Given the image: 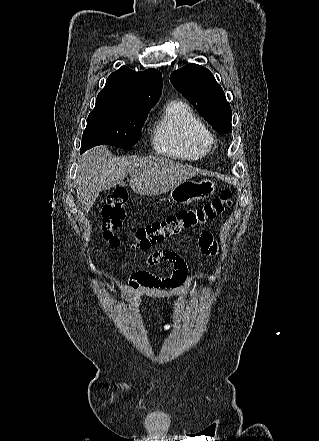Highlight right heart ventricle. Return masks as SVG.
<instances>
[{"label": "right heart ventricle", "instance_id": "1", "mask_svg": "<svg viewBox=\"0 0 319 441\" xmlns=\"http://www.w3.org/2000/svg\"><path fill=\"white\" fill-rule=\"evenodd\" d=\"M154 149L164 155L196 160L212 148L213 137L203 120L184 101L168 103L153 126Z\"/></svg>", "mask_w": 319, "mask_h": 441}]
</instances>
